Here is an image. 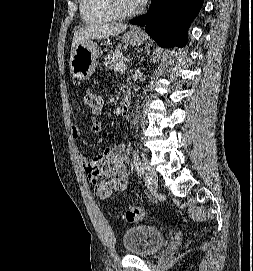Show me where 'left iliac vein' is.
Returning <instances> with one entry per match:
<instances>
[{
	"mask_svg": "<svg viewBox=\"0 0 253 271\" xmlns=\"http://www.w3.org/2000/svg\"><path fill=\"white\" fill-rule=\"evenodd\" d=\"M143 166L145 168L144 177L148 182L149 186L151 187L153 192L158 191V176L154 169L148 164V162L143 159Z\"/></svg>",
	"mask_w": 253,
	"mask_h": 271,
	"instance_id": "1",
	"label": "left iliac vein"
}]
</instances>
